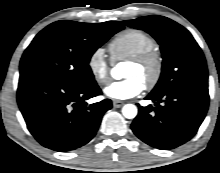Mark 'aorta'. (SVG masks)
<instances>
[{
  "label": "aorta",
  "mask_w": 220,
  "mask_h": 173,
  "mask_svg": "<svg viewBox=\"0 0 220 173\" xmlns=\"http://www.w3.org/2000/svg\"><path fill=\"white\" fill-rule=\"evenodd\" d=\"M111 75L113 78L115 79H120L122 78V70L120 68V66H116L111 70ZM122 114L125 118L127 119H133L136 117L137 115V108L135 105L133 104H126L123 108H122Z\"/></svg>",
  "instance_id": "762f6f07"
}]
</instances>
